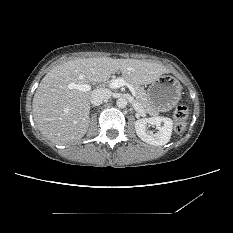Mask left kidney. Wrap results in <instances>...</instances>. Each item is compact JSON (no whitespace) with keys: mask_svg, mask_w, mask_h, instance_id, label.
I'll return each mask as SVG.
<instances>
[{"mask_svg":"<svg viewBox=\"0 0 233 233\" xmlns=\"http://www.w3.org/2000/svg\"><path fill=\"white\" fill-rule=\"evenodd\" d=\"M156 125L157 133H148L147 125ZM173 122L167 117L142 118L135 122L137 136L144 142L162 146L169 142L172 134Z\"/></svg>","mask_w":233,"mask_h":233,"instance_id":"left-kidney-1","label":"left kidney"}]
</instances>
